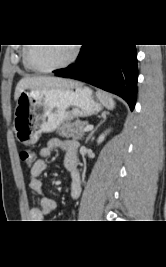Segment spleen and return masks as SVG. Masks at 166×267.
Instances as JSON below:
<instances>
[{
    "label": "spleen",
    "instance_id": "spleen-1",
    "mask_svg": "<svg viewBox=\"0 0 166 267\" xmlns=\"http://www.w3.org/2000/svg\"><path fill=\"white\" fill-rule=\"evenodd\" d=\"M98 98L100 99V101L103 103V105L109 109L112 110L115 107V102L114 100L107 94L102 93V92H98L97 93Z\"/></svg>",
    "mask_w": 166,
    "mask_h": 267
}]
</instances>
